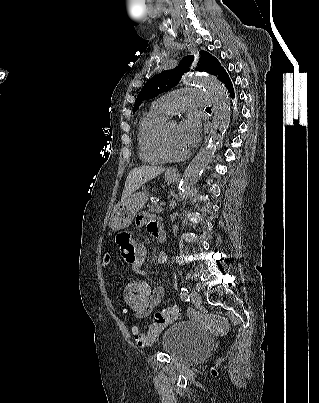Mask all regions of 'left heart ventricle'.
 Returning <instances> with one entry per match:
<instances>
[{
  "mask_svg": "<svg viewBox=\"0 0 319 403\" xmlns=\"http://www.w3.org/2000/svg\"><path fill=\"white\" fill-rule=\"evenodd\" d=\"M166 143L168 150L174 155H179L187 151L181 140L179 132V124L177 122L172 123L169 126L166 134Z\"/></svg>",
  "mask_w": 319,
  "mask_h": 403,
  "instance_id": "left-heart-ventricle-1",
  "label": "left heart ventricle"
}]
</instances>
